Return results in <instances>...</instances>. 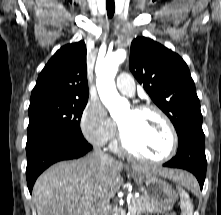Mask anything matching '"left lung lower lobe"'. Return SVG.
<instances>
[{
  "label": "left lung lower lobe",
  "mask_w": 221,
  "mask_h": 215,
  "mask_svg": "<svg viewBox=\"0 0 221 215\" xmlns=\"http://www.w3.org/2000/svg\"><path fill=\"white\" fill-rule=\"evenodd\" d=\"M163 166L181 168L193 173L203 188L207 161L205 156V136L203 131H190L179 140L176 156Z\"/></svg>",
  "instance_id": "obj_1"
}]
</instances>
